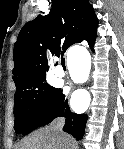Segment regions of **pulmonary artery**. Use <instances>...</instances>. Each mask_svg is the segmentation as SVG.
<instances>
[{"label":"pulmonary artery","mask_w":124,"mask_h":149,"mask_svg":"<svg viewBox=\"0 0 124 149\" xmlns=\"http://www.w3.org/2000/svg\"><path fill=\"white\" fill-rule=\"evenodd\" d=\"M56 74H57L58 76H64V75H65V73H64L60 68H58V69L56 70Z\"/></svg>","instance_id":"1"}]
</instances>
